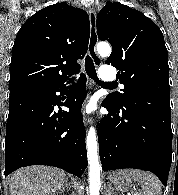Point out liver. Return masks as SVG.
<instances>
[{
	"mask_svg": "<svg viewBox=\"0 0 178 195\" xmlns=\"http://www.w3.org/2000/svg\"><path fill=\"white\" fill-rule=\"evenodd\" d=\"M63 170L47 166H29L10 177V195H51L65 184Z\"/></svg>",
	"mask_w": 178,
	"mask_h": 195,
	"instance_id": "obj_1",
	"label": "liver"
}]
</instances>
